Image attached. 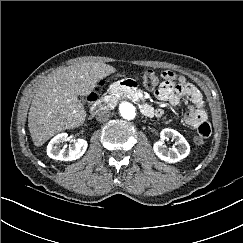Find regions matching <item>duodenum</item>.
Returning <instances> with one entry per match:
<instances>
[{
  "mask_svg": "<svg viewBox=\"0 0 243 243\" xmlns=\"http://www.w3.org/2000/svg\"><path fill=\"white\" fill-rule=\"evenodd\" d=\"M116 89H121V90H127L128 92L131 93L132 98L135 100H139V96L136 92L135 86L132 81L130 80H123L119 83L116 84L115 86ZM114 103V96L111 94H108L104 96L103 98L99 100H95L92 105H91V113L92 114H97L101 110H103L106 107H110ZM141 112L148 117H152L155 115V110L148 104L142 103L140 106Z\"/></svg>",
  "mask_w": 243,
  "mask_h": 243,
  "instance_id": "410a0bca",
  "label": "duodenum"
}]
</instances>
